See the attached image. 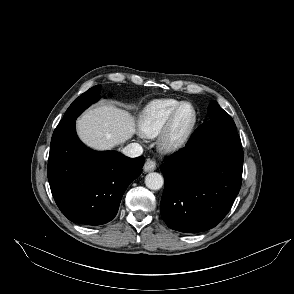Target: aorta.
<instances>
[{"label":"aorta","mask_w":294,"mask_h":294,"mask_svg":"<svg viewBox=\"0 0 294 294\" xmlns=\"http://www.w3.org/2000/svg\"><path fill=\"white\" fill-rule=\"evenodd\" d=\"M145 184L151 190H159L164 184V179L161 174L151 172L145 177Z\"/></svg>","instance_id":"1"}]
</instances>
